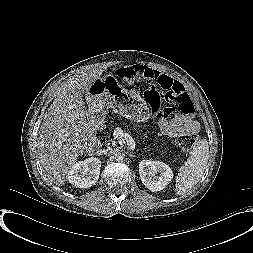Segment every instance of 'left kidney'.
<instances>
[{"mask_svg":"<svg viewBox=\"0 0 253 253\" xmlns=\"http://www.w3.org/2000/svg\"><path fill=\"white\" fill-rule=\"evenodd\" d=\"M142 183L152 192L163 190L173 179L171 168L161 161L142 160L139 163Z\"/></svg>","mask_w":253,"mask_h":253,"instance_id":"left-kidney-1","label":"left kidney"}]
</instances>
